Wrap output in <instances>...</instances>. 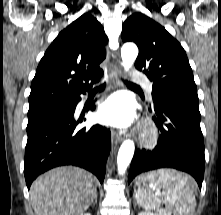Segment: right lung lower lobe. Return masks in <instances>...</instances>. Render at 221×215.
<instances>
[{
  "instance_id": "1",
  "label": "right lung lower lobe",
  "mask_w": 221,
  "mask_h": 215,
  "mask_svg": "<svg viewBox=\"0 0 221 215\" xmlns=\"http://www.w3.org/2000/svg\"><path fill=\"white\" fill-rule=\"evenodd\" d=\"M80 100V96H77L28 117L24 164L28 189L38 175L62 165L85 168L103 182L105 163L111 148V133L100 125L88 130L85 127L76 129L82 122V119L77 121L74 118ZM94 109L95 106L92 107Z\"/></svg>"
}]
</instances>
